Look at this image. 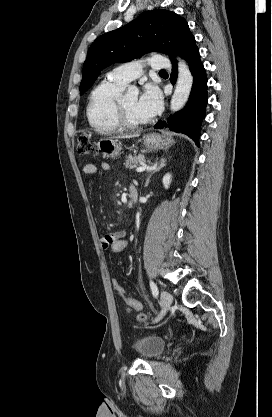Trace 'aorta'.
I'll list each match as a JSON object with an SVG mask.
<instances>
[{"label": "aorta", "mask_w": 272, "mask_h": 417, "mask_svg": "<svg viewBox=\"0 0 272 417\" xmlns=\"http://www.w3.org/2000/svg\"><path fill=\"white\" fill-rule=\"evenodd\" d=\"M192 84L193 77L187 63L178 58V80L170 103L171 111H178L184 106L190 95ZM138 93L139 90L136 87L128 88V96H137Z\"/></svg>", "instance_id": "aorta-1"}]
</instances>
